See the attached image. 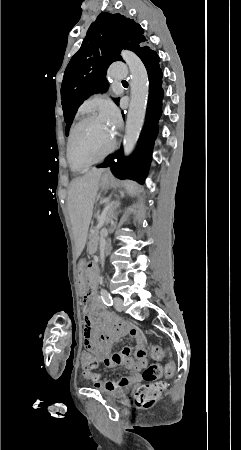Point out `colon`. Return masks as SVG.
<instances>
[{
	"instance_id": "colon-1",
	"label": "colon",
	"mask_w": 241,
	"mask_h": 450,
	"mask_svg": "<svg viewBox=\"0 0 241 450\" xmlns=\"http://www.w3.org/2000/svg\"><path fill=\"white\" fill-rule=\"evenodd\" d=\"M150 356L155 360H163L167 356V351L155 344L149 347ZM82 371H95L97 359L92 357L89 350L82 352ZM165 374L172 376L175 365L168 363L165 367ZM160 368L157 364H150L143 370V379L146 381H156L159 378ZM166 388V383L158 382L156 384L141 385L135 393V406L140 410H149L153 408L158 401L161 392Z\"/></svg>"
}]
</instances>
